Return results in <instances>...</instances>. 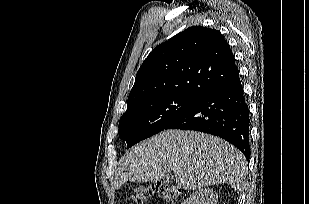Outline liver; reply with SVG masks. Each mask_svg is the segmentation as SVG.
<instances>
[{
  "instance_id": "obj_1",
  "label": "liver",
  "mask_w": 309,
  "mask_h": 204,
  "mask_svg": "<svg viewBox=\"0 0 309 204\" xmlns=\"http://www.w3.org/2000/svg\"><path fill=\"white\" fill-rule=\"evenodd\" d=\"M120 166L116 188L126 181L157 182L173 171L183 189L227 183L239 192L247 173L244 155L230 143L181 130H166L138 143L124 154Z\"/></svg>"
}]
</instances>
